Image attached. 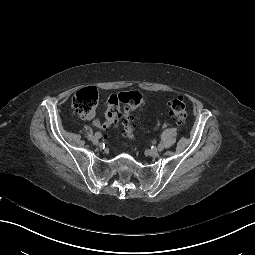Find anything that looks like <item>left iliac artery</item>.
Instances as JSON below:
<instances>
[{"instance_id": "left-iliac-artery-1", "label": "left iliac artery", "mask_w": 255, "mask_h": 255, "mask_svg": "<svg viewBox=\"0 0 255 255\" xmlns=\"http://www.w3.org/2000/svg\"><path fill=\"white\" fill-rule=\"evenodd\" d=\"M163 148H164L163 145L160 143V144L158 145V150H159V151H162Z\"/></svg>"}]
</instances>
